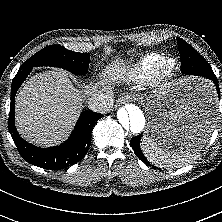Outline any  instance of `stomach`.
Returning <instances> with one entry per match:
<instances>
[{"mask_svg": "<svg viewBox=\"0 0 222 222\" xmlns=\"http://www.w3.org/2000/svg\"><path fill=\"white\" fill-rule=\"evenodd\" d=\"M215 102L206 80L188 77L166 84L147 103L146 137L170 149H201L212 132Z\"/></svg>", "mask_w": 222, "mask_h": 222, "instance_id": "0dacf381", "label": "stomach"}]
</instances>
